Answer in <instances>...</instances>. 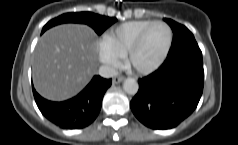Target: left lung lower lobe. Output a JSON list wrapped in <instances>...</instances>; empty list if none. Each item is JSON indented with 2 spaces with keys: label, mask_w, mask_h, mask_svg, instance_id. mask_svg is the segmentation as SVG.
<instances>
[{
  "label": "left lung lower lobe",
  "mask_w": 238,
  "mask_h": 145,
  "mask_svg": "<svg viewBox=\"0 0 238 145\" xmlns=\"http://www.w3.org/2000/svg\"><path fill=\"white\" fill-rule=\"evenodd\" d=\"M174 36L183 37L186 27L174 23ZM202 52L197 44L168 54L152 74L139 79V91L130 106L136 118L152 129H170L197 107L203 92Z\"/></svg>",
  "instance_id": "0a47b994"
}]
</instances>
